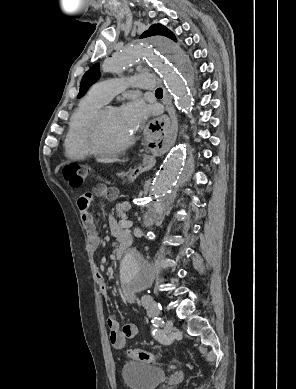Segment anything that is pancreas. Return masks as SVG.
<instances>
[{
	"label": "pancreas",
	"instance_id": "1",
	"mask_svg": "<svg viewBox=\"0 0 296 389\" xmlns=\"http://www.w3.org/2000/svg\"><path fill=\"white\" fill-rule=\"evenodd\" d=\"M131 209L129 202H122L116 204V213L121 218H126V212Z\"/></svg>",
	"mask_w": 296,
	"mask_h": 389
}]
</instances>
